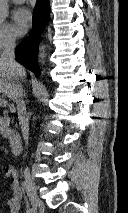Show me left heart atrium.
<instances>
[{"instance_id":"obj_1","label":"left heart atrium","mask_w":128,"mask_h":213,"mask_svg":"<svg viewBox=\"0 0 128 213\" xmlns=\"http://www.w3.org/2000/svg\"><path fill=\"white\" fill-rule=\"evenodd\" d=\"M32 16L28 9L17 8L12 14V26L17 35H24L30 28Z\"/></svg>"}]
</instances>
